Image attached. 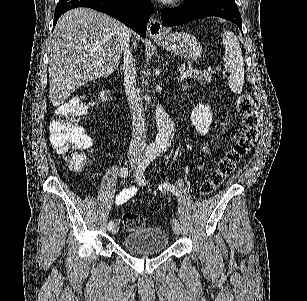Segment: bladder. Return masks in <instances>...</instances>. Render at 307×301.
<instances>
[{"instance_id":"bladder-1","label":"bladder","mask_w":307,"mask_h":301,"mask_svg":"<svg viewBox=\"0 0 307 301\" xmlns=\"http://www.w3.org/2000/svg\"><path fill=\"white\" fill-rule=\"evenodd\" d=\"M168 237L164 230L158 228H144L130 232L122 239L126 250L142 253H155L166 250Z\"/></svg>"}]
</instances>
